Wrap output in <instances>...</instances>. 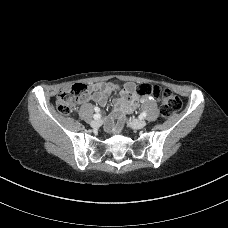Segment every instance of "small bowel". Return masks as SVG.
<instances>
[{
    "label": "small bowel",
    "mask_w": 228,
    "mask_h": 228,
    "mask_svg": "<svg viewBox=\"0 0 228 228\" xmlns=\"http://www.w3.org/2000/svg\"><path fill=\"white\" fill-rule=\"evenodd\" d=\"M115 90L120 91V97L114 100V108L111 117L106 122V129L112 130V119L116 118L119 121L117 128L121 127L122 117L125 113L131 112L139 102H147L153 100L152 95L140 98L135 92L133 83L119 85L113 82H95L90 85V90L82 98V103L94 101L100 106H105L108 95Z\"/></svg>",
    "instance_id": "1"
}]
</instances>
